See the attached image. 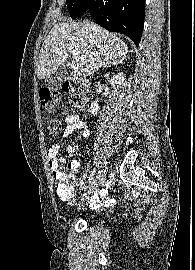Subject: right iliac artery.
<instances>
[{
	"instance_id": "right-iliac-artery-1",
	"label": "right iliac artery",
	"mask_w": 195,
	"mask_h": 270,
	"mask_svg": "<svg viewBox=\"0 0 195 270\" xmlns=\"http://www.w3.org/2000/svg\"><path fill=\"white\" fill-rule=\"evenodd\" d=\"M95 171H96V169H93V171L91 172V174H90V176H89V179H88V182H89V183H90L91 180L93 179V176H94V174H95Z\"/></svg>"
}]
</instances>
